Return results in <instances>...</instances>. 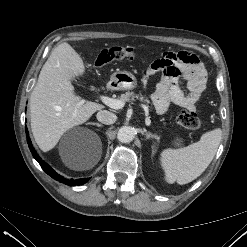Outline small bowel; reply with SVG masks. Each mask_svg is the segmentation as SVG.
Segmentation results:
<instances>
[{
    "instance_id": "small-bowel-1",
    "label": "small bowel",
    "mask_w": 247,
    "mask_h": 247,
    "mask_svg": "<svg viewBox=\"0 0 247 247\" xmlns=\"http://www.w3.org/2000/svg\"><path fill=\"white\" fill-rule=\"evenodd\" d=\"M163 72L162 79L151 94L158 114L167 112L171 103L186 110H195L196 104L206 88V70L194 54L165 52L155 60L146 72V76ZM186 83L187 92L181 87Z\"/></svg>"
}]
</instances>
